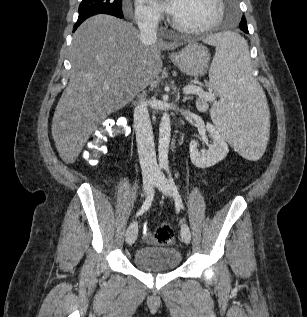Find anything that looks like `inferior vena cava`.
Masks as SVG:
<instances>
[{
  "mask_svg": "<svg viewBox=\"0 0 307 317\" xmlns=\"http://www.w3.org/2000/svg\"><path fill=\"white\" fill-rule=\"evenodd\" d=\"M159 19L155 15L143 16L138 21L139 39L142 42H155ZM134 128L136 132L139 161L144 178L158 173L153 131L148 113V103L142 97L134 109Z\"/></svg>",
  "mask_w": 307,
  "mask_h": 317,
  "instance_id": "1",
  "label": "inferior vena cava"
}]
</instances>
